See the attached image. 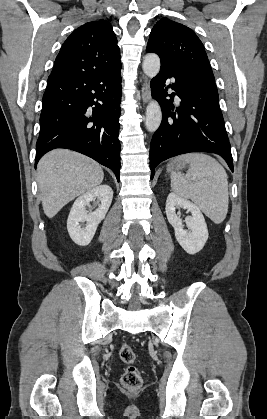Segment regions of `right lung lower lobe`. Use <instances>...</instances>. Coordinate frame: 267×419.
Wrapping results in <instances>:
<instances>
[{
    "mask_svg": "<svg viewBox=\"0 0 267 419\" xmlns=\"http://www.w3.org/2000/svg\"><path fill=\"white\" fill-rule=\"evenodd\" d=\"M121 64L106 70L50 75L42 100L36 164L54 148L85 154L119 181Z\"/></svg>",
    "mask_w": 267,
    "mask_h": 419,
    "instance_id": "1",
    "label": "right lung lower lobe"
}]
</instances>
